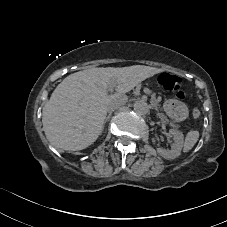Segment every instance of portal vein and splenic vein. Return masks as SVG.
Segmentation results:
<instances>
[{"label": "portal vein and splenic vein", "instance_id": "obj_1", "mask_svg": "<svg viewBox=\"0 0 227 227\" xmlns=\"http://www.w3.org/2000/svg\"><path fill=\"white\" fill-rule=\"evenodd\" d=\"M143 89H144V92H145V93H147V94L149 93V89H148V88H145V87H144ZM159 116L161 117L162 115L160 114Z\"/></svg>", "mask_w": 227, "mask_h": 227}]
</instances>
